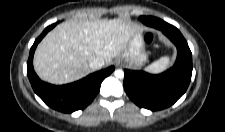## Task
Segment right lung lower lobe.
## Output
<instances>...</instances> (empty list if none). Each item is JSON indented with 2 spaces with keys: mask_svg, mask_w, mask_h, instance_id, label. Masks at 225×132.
<instances>
[{
  "mask_svg": "<svg viewBox=\"0 0 225 132\" xmlns=\"http://www.w3.org/2000/svg\"><path fill=\"white\" fill-rule=\"evenodd\" d=\"M55 24L48 26L43 33L35 40L30 49L27 63V75L35 93L51 108L71 113L84 109L95 98L100 90L101 82L115 69L111 66L107 69L95 72L87 77L62 86H55L41 81L33 70V55L37 44L50 31Z\"/></svg>",
  "mask_w": 225,
  "mask_h": 132,
  "instance_id": "98d812e1",
  "label": "right lung lower lobe"
}]
</instances>
